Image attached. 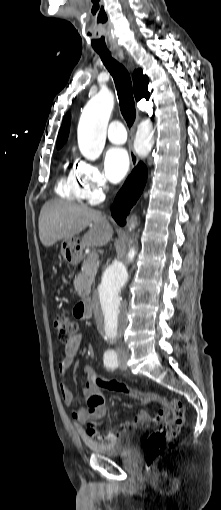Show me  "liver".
<instances>
[{"mask_svg": "<svg viewBox=\"0 0 221 510\" xmlns=\"http://www.w3.org/2000/svg\"><path fill=\"white\" fill-rule=\"evenodd\" d=\"M87 226L81 248L102 247L113 236V229L100 211L86 205H78L62 199L47 201L39 216V238L45 247L62 239H70Z\"/></svg>", "mask_w": 221, "mask_h": 510, "instance_id": "obj_1", "label": "liver"}]
</instances>
